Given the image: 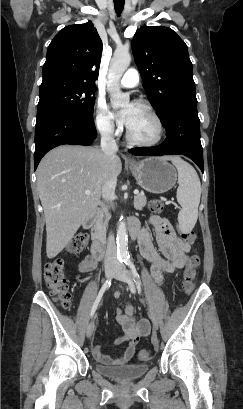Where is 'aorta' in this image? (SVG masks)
Listing matches in <instances>:
<instances>
[{"label": "aorta", "instance_id": "762f6f07", "mask_svg": "<svg viewBox=\"0 0 243 409\" xmlns=\"http://www.w3.org/2000/svg\"><path fill=\"white\" fill-rule=\"evenodd\" d=\"M131 56L128 51H116L109 67L107 82V91L110 96V103L113 108H122L129 104V95L123 93L120 89L119 81L124 71L129 67ZM117 256L119 259H125L128 256V236L126 222L120 219L117 228Z\"/></svg>", "mask_w": 243, "mask_h": 409}]
</instances>
